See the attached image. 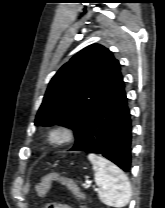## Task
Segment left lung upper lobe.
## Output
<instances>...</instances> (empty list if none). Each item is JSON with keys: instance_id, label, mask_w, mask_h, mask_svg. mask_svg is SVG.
<instances>
[{"instance_id": "1", "label": "left lung upper lobe", "mask_w": 165, "mask_h": 208, "mask_svg": "<svg viewBox=\"0 0 165 208\" xmlns=\"http://www.w3.org/2000/svg\"><path fill=\"white\" fill-rule=\"evenodd\" d=\"M120 76V64L109 49L99 44L84 48L51 79L35 125L66 126L77 139Z\"/></svg>"}]
</instances>
